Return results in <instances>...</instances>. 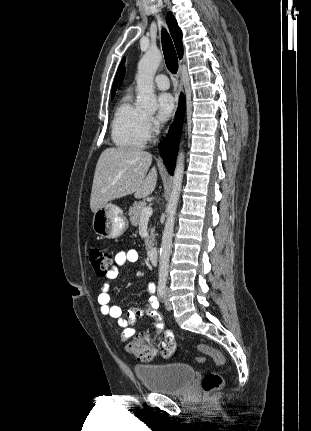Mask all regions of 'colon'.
I'll return each mask as SVG.
<instances>
[{
  "label": "colon",
  "mask_w": 311,
  "mask_h": 431,
  "mask_svg": "<svg viewBox=\"0 0 311 431\" xmlns=\"http://www.w3.org/2000/svg\"><path fill=\"white\" fill-rule=\"evenodd\" d=\"M89 260L98 276L103 277L107 275L108 268L112 262V256L107 250L97 247L92 248L89 252ZM124 347L127 353L135 356L141 361H150L155 355L154 347L149 340L142 335L127 341ZM196 348L199 352L212 357L217 365L223 366L225 364V357L216 348L205 344H199ZM158 350L163 356H170L175 350V345L172 339L165 338L158 345ZM196 361L198 363H203L205 362V358L203 356H198ZM222 385L223 378L218 372L211 371L206 373L203 377L202 389L206 394L221 388Z\"/></svg>",
  "instance_id": "1"
}]
</instances>
